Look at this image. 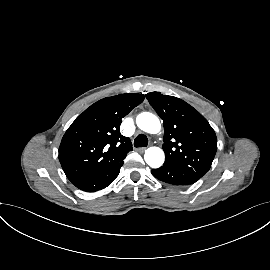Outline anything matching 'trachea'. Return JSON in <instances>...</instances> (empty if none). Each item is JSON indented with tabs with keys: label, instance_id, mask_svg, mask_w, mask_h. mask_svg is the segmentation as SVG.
Wrapping results in <instances>:
<instances>
[{
	"label": "trachea",
	"instance_id": "3493384b",
	"mask_svg": "<svg viewBox=\"0 0 270 270\" xmlns=\"http://www.w3.org/2000/svg\"><path fill=\"white\" fill-rule=\"evenodd\" d=\"M148 145V138L144 134H139L134 140L135 147H146Z\"/></svg>",
	"mask_w": 270,
	"mask_h": 270
}]
</instances>
